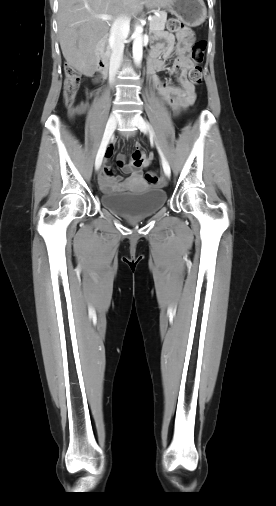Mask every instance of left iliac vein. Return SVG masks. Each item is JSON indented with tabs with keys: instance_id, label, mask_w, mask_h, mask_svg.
<instances>
[{
	"instance_id": "obj_1",
	"label": "left iliac vein",
	"mask_w": 276,
	"mask_h": 506,
	"mask_svg": "<svg viewBox=\"0 0 276 506\" xmlns=\"http://www.w3.org/2000/svg\"><path fill=\"white\" fill-rule=\"evenodd\" d=\"M135 124L142 132H144V133L148 132V127H147L144 119L141 116L136 117ZM162 165H163L164 172L166 171L168 173V174H166V176L170 177V174H171L170 166L164 157H162Z\"/></svg>"
}]
</instances>
